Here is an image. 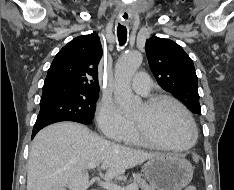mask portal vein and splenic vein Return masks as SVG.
Returning a JSON list of instances; mask_svg holds the SVG:
<instances>
[{
  "instance_id": "1",
  "label": "portal vein and splenic vein",
  "mask_w": 234,
  "mask_h": 190,
  "mask_svg": "<svg viewBox=\"0 0 234 190\" xmlns=\"http://www.w3.org/2000/svg\"><path fill=\"white\" fill-rule=\"evenodd\" d=\"M97 165H98L97 163H90L88 165V169L89 170L95 169ZM100 185L106 190H138L139 189L138 185L136 184H130L126 187H121L119 185H116L114 183L107 182V181L101 182Z\"/></svg>"
}]
</instances>
